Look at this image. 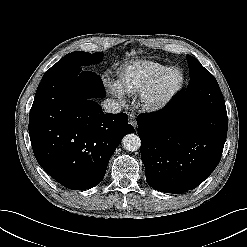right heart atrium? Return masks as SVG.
Listing matches in <instances>:
<instances>
[{
    "mask_svg": "<svg viewBox=\"0 0 247 247\" xmlns=\"http://www.w3.org/2000/svg\"><path fill=\"white\" fill-rule=\"evenodd\" d=\"M108 88L113 95H115L119 99H122V93L116 85L108 83Z\"/></svg>",
    "mask_w": 247,
    "mask_h": 247,
    "instance_id": "obj_1",
    "label": "right heart atrium"
}]
</instances>
